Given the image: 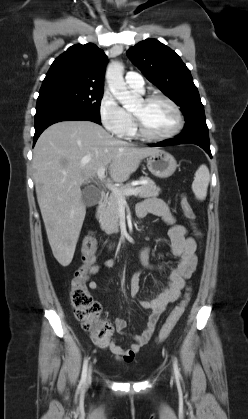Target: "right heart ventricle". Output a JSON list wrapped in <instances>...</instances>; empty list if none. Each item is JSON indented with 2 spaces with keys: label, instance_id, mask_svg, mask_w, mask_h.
<instances>
[{
  "label": "right heart ventricle",
  "instance_id": "e07e8e85",
  "mask_svg": "<svg viewBox=\"0 0 248 419\" xmlns=\"http://www.w3.org/2000/svg\"><path fill=\"white\" fill-rule=\"evenodd\" d=\"M137 136H138V134H137V132L135 130L134 121L131 118V122H130V125H129V128L127 130V133H126L125 137H127V138H136Z\"/></svg>",
  "mask_w": 248,
  "mask_h": 419
}]
</instances>
